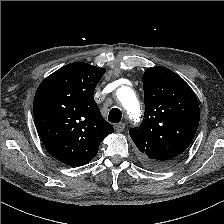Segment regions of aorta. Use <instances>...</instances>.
Returning <instances> with one entry per match:
<instances>
[{"label": "aorta", "mask_w": 224, "mask_h": 224, "mask_svg": "<svg viewBox=\"0 0 224 224\" xmlns=\"http://www.w3.org/2000/svg\"><path fill=\"white\" fill-rule=\"evenodd\" d=\"M118 98L127 111L129 118L135 123L138 122L141 116V110L134 91L127 86L121 87L118 90Z\"/></svg>", "instance_id": "obj_1"}]
</instances>
